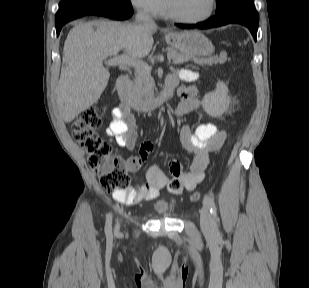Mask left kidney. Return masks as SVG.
<instances>
[{
  "label": "left kidney",
  "instance_id": "left-kidney-1",
  "mask_svg": "<svg viewBox=\"0 0 309 288\" xmlns=\"http://www.w3.org/2000/svg\"><path fill=\"white\" fill-rule=\"evenodd\" d=\"M229 104L228 87L223 82H218L215 91L207 93L202 100L204 111L212 117L222 116Z\"/></svg>",
  "mask_w": 309,
  "mask_h": 288
}]
</instances>
